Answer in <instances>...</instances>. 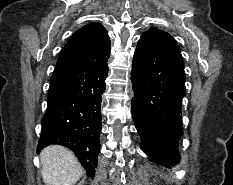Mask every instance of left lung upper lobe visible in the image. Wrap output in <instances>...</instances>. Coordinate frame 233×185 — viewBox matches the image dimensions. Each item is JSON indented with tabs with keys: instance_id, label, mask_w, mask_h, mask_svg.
<instances>
[{
	"instance_id": "obj_1",
	"label": "left lung upper lobe",
	"mask_w": 233,
	"mask_h": 185,
	"mask_svg": "<svg viewBox=\"0 0 233 185\" xmlns=\"http://www.w3.org/2000/svg\"><path fill=\"white\" fill-rule=\"evenodd\" d=\"M142 37L160 45L169 51L181 55L179 46L173 37L162 30L151 28L150 30L144 32Z\"/></svg>"
}]
</instances>
